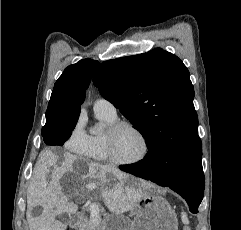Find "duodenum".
<instances>
[{
    "label": "duodenum",
    "mask_w": 241,
    "mask_h": 230,
    "mask_svg": "<svg viewBox=\"0 0 241 230\" xmlns=\"http://www.w3.org/2000/svg\"><path fill=\"white\" fill-rule=\"evenodd\" d=\"M83 217L81 215H75L73 219L71 220L70 227L71 228H77L79 224L81 223Z\"/></svg>",
    "instance_id": "410a0bca"
}]
</instances>
